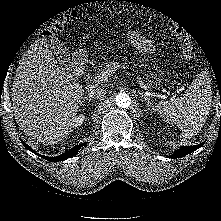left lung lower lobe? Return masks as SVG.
Masks as SVG:
<instances>
[{
	"label": "left lung lower lobe",
	"mask_w": 221,
	"mask_h": 221,
	"mask_svg": "<svg viewBox=\"0 0 221 221\" xmlns=\"http://www.w3.org/2000/svg\"><path fill=\"white\" fill-rule=\"evenodd\" d=\"M203 144L204 142L199 145L181 147L180 149L176 150L173 155L169 156V158H173V159L182 158L186 156L187 154L194 152L195 150L200 148Z\"/></svg>",
	"instance_id": "1"
}]
</instances>
